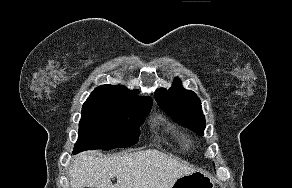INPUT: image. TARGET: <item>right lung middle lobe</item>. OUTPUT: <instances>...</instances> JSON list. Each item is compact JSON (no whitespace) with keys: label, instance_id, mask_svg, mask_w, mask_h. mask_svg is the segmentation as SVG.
Returning <instances> with one entry per match:
<instances>
[{"label":"right lung middle lobe","instance_id":"obj_1","mask_svg":"<svg viewBox=\"0 0 292 188\" xmlns=\"http://www.w3.org/2000/svg\"><path fill=\"white\" fill-rule=\"evenodd\" d=\"M151 106L124 93L95 89L82 106L74 153L134 145Z\"/></svg>","mask_w":292,"mask_h":188}]
</instances>
